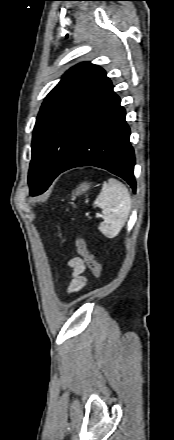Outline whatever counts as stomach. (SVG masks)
Instances as JSON below:
<instances>
[{"label": "stomach", "instance_id": "stomach-1", "mask_svg": "<svg viewBox=\"0 0 174 440\" xmlns=\"http://www.w3.org/2000/svg\"><path fill=\"white\" fill-rule=\"evenodd\" d=\"M90 186H91V184L88 183V182L81 183V184L77 187V189L73 192V196H72L73 199H74L77 195H80V194L86 192L88 189H90Z\"/></svg>", "mask_w": 174, "mask_h": 440}]
</instances>
